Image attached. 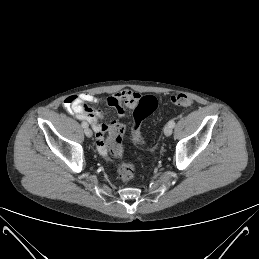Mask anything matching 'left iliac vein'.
<instances>
[{"mask_svg": "<svg viewBox=\"0 0 259 259\" xmlns=\"http://www.w3.org/2000/svg\"><path fill=\"white\" fill-rule=\"evenodd\" d=\"M164 134L166 136H170L172 134V127L169 124L165 125Z\"/></svg>", "mask_w": 259, "mask_h": 259, "instance_id": "4c4485c4", "label": "left iliac vein"}]
</instances>
